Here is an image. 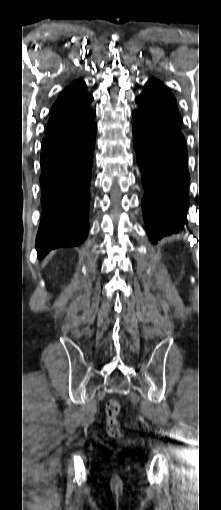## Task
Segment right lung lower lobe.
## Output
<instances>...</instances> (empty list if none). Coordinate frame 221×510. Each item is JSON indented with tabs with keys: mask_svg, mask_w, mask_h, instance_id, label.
<instances>
[{
	"mask_svg": "<svg viewBox=\"0 0 221 510\" xmlns=\"http://www.w3.org/2000/svg\"><path fill=\"white\" fill-rule=\"evenodd\" d=\"M94 118L78 131L42 141L43 212L36 238L39 258L55 248L78 246L88 234Z\"/></svg>",
	"mask_w": 221,
	"mask_h": 510,
	"instance_id": "right-lung-lower-lobe-1",
	"label": "right lung lower lobe"
}]
</instances>
